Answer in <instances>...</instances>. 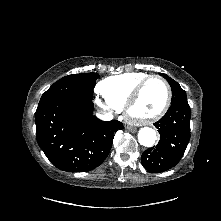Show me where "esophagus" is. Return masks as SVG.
Returning <instances> with one entry per match:
<instances>
[{
	"label": "esophagus",
	"mask_w": 221,
	"mask_h": 221,
	"mask_svg": "<svg viewBox=\"0 0 221 221\" xmlns=\"http://www.w3.org/2000/svg\"><path fill=\"white\" fill-rule=\"evenodd\" d=\"M125 129L132 133L136 132V128L131 127V126H126Z\"/></svg>",
	"instance_id": "esophagus-1"
}]
</instances>
